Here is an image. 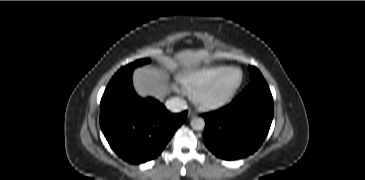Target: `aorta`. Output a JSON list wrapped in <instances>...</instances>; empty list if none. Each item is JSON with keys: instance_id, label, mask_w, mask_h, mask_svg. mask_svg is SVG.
<instances>
[{"instance_id": "1", "label": "aorta", "mask_w": 365, "mask_h": 180, "mask_svg": "<svg viewBox=\"0 0 365 180\" xmlns=\"http://www.w3.org/2000/svg\"><path fill=\"white\" fill-rule=\"evenodd\" d=\"M191 127L194 130H203L205 127V121L202 118L195 117L191 120Z\"/></svg>"}]
</instances>
